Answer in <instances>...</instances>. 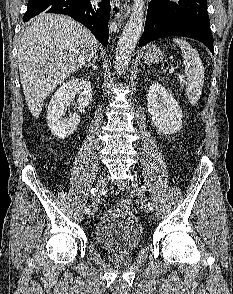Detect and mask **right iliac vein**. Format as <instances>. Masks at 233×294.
Masks as SVG:
<instances>
[{
	"label": "right iliac vein",
	"instance_id": "63e3f726",
	"mask_svg": "<svg viewBox=\"0 0 233 294\" xmlns=\"http://www.w3.org/2000/svg\"><path fill=\"white\" fill-rule=\"evenodd\" d=\"M105 186V180H104V177L103 176H100L97 180V183H96V187H97V196H96V199L94 200L93 204H92V209L90 211V214L93 215L96 210H97V206H98V197H99V194L100 192L103 190Z\"/></svg>",
	"mask_w": 233,
	"mask_h": 294
}]
</instances>
